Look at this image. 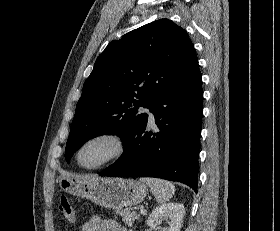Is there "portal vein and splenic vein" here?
I'll return each mask as SVG.
<instances>
[{"mask_svg": "<svg viewBox=\"0 0 280 231\" xmlns=\"http://www.w3.org/2000/svg\"><path fill=\"white\" fill-rule=\"evenodd\" d=\"M140 213H142V215H147V209H140Z\"/></svg>", "mask_w": 280, "mask_h": 231, "instance_id": "obj_1", "label": "portal vein and splenic vein"}]
</instances>
